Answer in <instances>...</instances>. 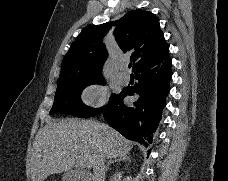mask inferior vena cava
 Here are the masks:
<instances>
[{"mask_svg":"<svg viewBox=\"0 0 228 181\" xmlns=\"http://www.w3.org/2000/svg\"><path fill=\"white\" fill-rule=\"evenodd\" d=\"M94 129V135H97L98 127H94ZM93 181H105V155L95 157L93 161Z\"/></svg>","mask_w":228,"mask_h":181,"instance_id":"inferior-vena-cava-1","label":"inferior vena cava"}]
</instances>
